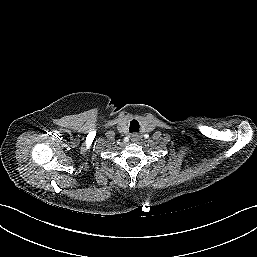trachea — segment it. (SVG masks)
Wrapping results in <instances>:
<instances>
[{"label": "trachea", "instance_id": "trachea-1", "mask_svg": "<svg viewBox=\"0 0 257 257\" xmlns=\"http://www.w3.org/2000/svg\"><path fill=\"white\" fill-rule=\"evenodd\" d=\"M130 133L139 132V123L137 120H132L129 127Z\"/></svg>", "mask_w": 257, "mask_h": 257}]
</instances>
